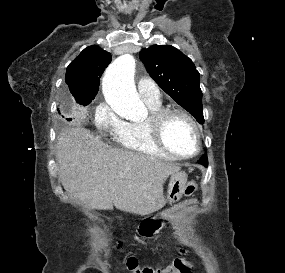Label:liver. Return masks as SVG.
<instances>
[{
	"label": "liver",
	"instance_id": "liver-1",
	"mask_svg": "<svg viewBox=\"0 0 285 273\" xmlns=\"http://www.w3.org/2000/svg\"><path fill=\"white\" fill-rule=\"evenodd\" d=\"M64 189L92 209L148 215L165 204L163 184L177 164L114 148L87 129L68 127L57 138Z\"/></svg>",
	"mask_w": 285,
	"mask_h": 273
}]
</instances>
